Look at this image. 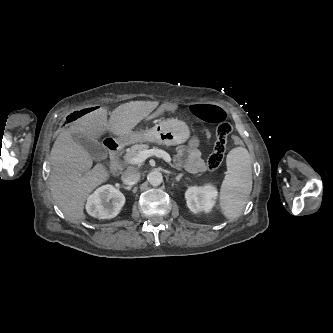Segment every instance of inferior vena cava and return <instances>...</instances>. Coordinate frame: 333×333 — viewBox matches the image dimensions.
Masks as SVG:
<instances>
[{"label":"inferior vena cava","instance_id":"obj_1","mask_svg":"<svg viewBox=\"0 0 333 333\" xmlns=\"http://www.w3.org/2000/svg\"><path fill=\"white\" fill-rule=\"evenodd\" d=\"M121 179L126 185H134L139 181L140 173L135 168H128L123 172Z\"/></svg>","mask_w":333,"mask_h":333}]
</instances>
